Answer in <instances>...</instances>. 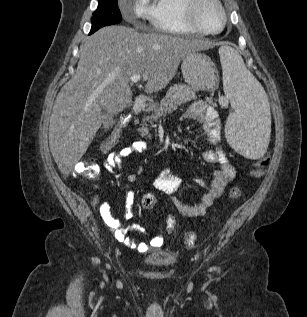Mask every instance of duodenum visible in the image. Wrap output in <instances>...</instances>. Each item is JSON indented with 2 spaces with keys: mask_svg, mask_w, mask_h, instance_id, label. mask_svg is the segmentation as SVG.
<instances>
[{
  "mask_svg": "<svg viewBox=\"0 0 307 317\" xmlns=\"http://www.w3.org/2000/svg\"><path fill=\"white\" fill-rule=\"evenodd\" d=\"M146 99L142 97H138L134 100L133 105H132V112L134 114L140 113L144 110L146 107Z\"/></svg>",
  "mask_w": 307,
  "mask_h": 317,
  "instance_id": "duodenum-1",
  "label": "duodenum"
}]
</instances>
